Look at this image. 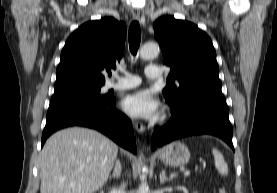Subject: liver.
<instances>
[{"mask_svg": "<svg viewBox=\"0 0 277 193\" xmlns=\"http://www.w3.org/2000/svg\"><path fill=\"white\" fill-rule=\"evenodd\" d=\"M118 146L103 134L73 127L46 141L40 162V193H94L104 186Z\"/></svg>", "mask_w": 277, "mask_h": 193, "instance_id": "1", "label": "liver"}]
</instances>
